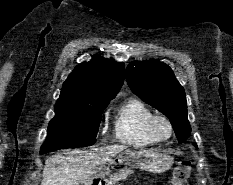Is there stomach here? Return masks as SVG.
Masks as SVG:
<instances>
[{"label": "stomach", "mask_w": 233, "mask_h": 185, "mask_svg": "<svg viewBox=\"0 0 233 185\" xmlns=\"http://www.w3.org/2000/svg\"><path fill=\"white\" fill-rule=\"evenodd\" d=\"M173 164V157L166 153L138 150H126L118 154L107 166L93 177L82 181L79 185H115L140 168L152 173H163Z\"/></svg>", "instance_id": "0dacf381"}]
</instances>
